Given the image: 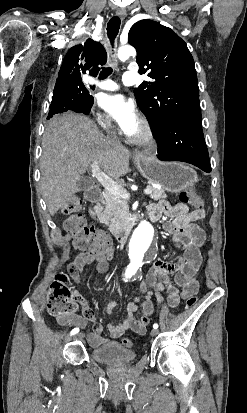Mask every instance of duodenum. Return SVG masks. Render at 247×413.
Masks as SVG:
<instances>
[{"mask_svg":"<svg viewBox=\"0 0 247 413\" xmlns=\"http://www.w3.org/2000/svg\"><path fill=\"white\" fill-rule=\"evenodd\" d=\"M103 196H104L103 189L97 185L90 187L85 193L86 199L95 205V208L92 210V215L94 217H97L100 213L101 201L103 199ZM131 226H132V223H129L128 225L120 229H115L113 231V236L116 242L118 243V245H124L126 243L127 237L131 230Z\"/></svg>","mask_w":247,"mask_h":413,"instance_id":"410a0bca","label":"duodenum"}]
</instances>
